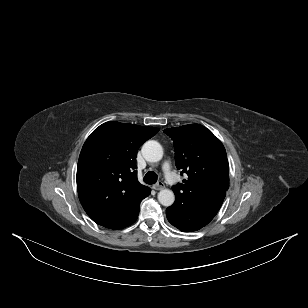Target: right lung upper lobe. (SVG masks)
I'll list each match as a JSON object with an SVG mask.
<instances>
[{
    "instance_id": "1",
    "label": "right lung upper lobe",
    "mask_w": 308,
    "mask_h": 308,
    "mask_svg": "<svg viewBox=\"0 0 308 308\" xmlns=\"http://www.w3.org/2000/svg\"><path fill=\"white\" fill-rule=\"evenodd\" d=\"M159 131L155 127L107 122L84 143L77 166L80 202L97 224L126 227L150 189L137 180L139 147Z\"/></svg>"
}]
</instances>
